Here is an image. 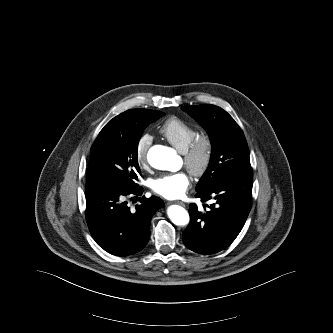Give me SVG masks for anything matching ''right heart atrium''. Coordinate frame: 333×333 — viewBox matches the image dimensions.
I'll list each match as a JSON object with an SVG mask.
<instances>
[{"label": "right heart atrium", "mask_w": 333, "mask_h": 333, "mask_svg": "<svg viewBox=\"0 0 333 333\" xmlns=\"http://www.w3.org/2000/svg\"><path fill=\"white\" fill-rule=\"evenodd\" d=\"M152 143V136L145 133L142 134L135 144V156L136 160L141 167L147 164V154Z\"/></svg>", "instance_id": "d8ad5b80"}]
</instances>
